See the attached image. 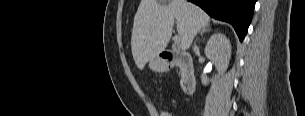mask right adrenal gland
<instances>
[{
	"instance_id": "2a0ac1e0",
	"label": "right adrenal gland",
	"mask_w": 305,
	"mask_h": 116,
	"mask_svg": "<svg viewBox=\"0 0 305 116\" xmlns=\"http://www.w3.org/2000/svg\"><path fill=\"white\" fill-rule=\"evenodd\" d=\"M210 30H211L210 27H205L199 32V34H200V36H202L205 32H209ZM197 41H198V38H197Z\"/></svg>"
}]
</instances>
